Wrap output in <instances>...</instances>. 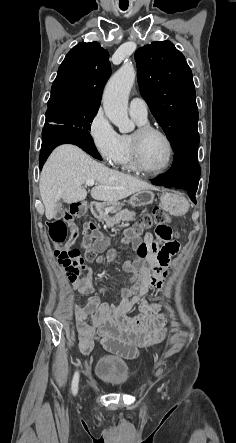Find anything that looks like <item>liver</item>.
Instances as JSON below:
<instances>
[{"mask_svg": "<svg viewBox=\"0 0 236 443\" xmlns=\"http://www.w3.org/2000/svg\"><path fill=\"white\" fill-rule=\"evenodd\" d=\"M87 180L98 183L92 188L91 197L110 205L153 188L147 182L93 160L74 145H62L52 152L41 172L39 189L46 218L51 220L55 217L60 200L66 203L85 200L87 191L84 184Z\"/></svg>", "mask_w": 236, "mask_h": 443, "instance_id": "liver-1", "label": "liver"}]
</instances>
